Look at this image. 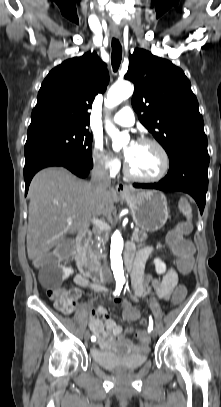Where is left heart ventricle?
Segmentation results:
<instances>
[{"instance_id":"b2bd125f","label":"left heart ventricle","mask_w":221,"mask_h":407,"mask_svg":"<svg viewBox=\"0 0 221 407\" xmlns=\"http://www.w3.org/2000/svg\"><path fill=\"white\" fill-rule=\"evenodd\" d=\"M125 153L130 168L138 175L153 177L163 168V158L153 145L130 144L125 148Z\"/></svg>"}]
</instances>
